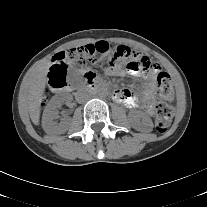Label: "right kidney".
<instances>
[{
  "instance_id": "obj_1",
  "label": "right kidney",
  "mask_w": 207,
  "mask_h": 207,
  "mask_svg": "<svg viewBox=\"0 0 207 207\" xmlns=\"http://www.w3.org/2000/svg\"><path fill=\"white\" fill-rule=\"evenodd\" d=\"M69 99L67 95L54 96L44 109L42 127L45 132L65 131L69 124V118L63 119L58 125L55 120L58 116V108Z\"/></svg>"
}]
</instances>
